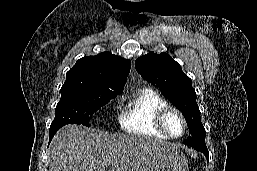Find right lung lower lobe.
Wrapping results in <instances>:
<instances>
[{
	"label": "right lung lower lobe",
	"mask_w": 257,
	"mask_h": 171,
	"mask_svg": "<svg viewBox=\"0 0 257 171\" xmlns=\"http://www.w3.org/2000/svg\"><path fill=\"white\" fill-rule=\"evenodd\" d=\"M61 127H62V126L50 127L49 143L51 142L53 136L56 134V132H57Z\"/></svg>",
	"instance_id": "right-lung-lower-lobe-1"
}]
</instances>
